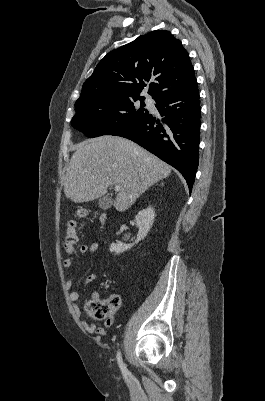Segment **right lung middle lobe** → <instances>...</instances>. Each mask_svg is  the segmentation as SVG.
<instances>
[{
  "instance_id": "1",
  "label": "right lung middle lobe",
  "mask_w": 265,
  "mask_h": 401,
  "mask_svg": "<svg viewBox=\"0 0 265 401\" xmlns=\"http://www.w3.org/2000/svg\"><path fill=\"white\" fill-rule=\"evenodd\" d=\"M144 99L106 96L91 100L75 106L71 125L89 138L112 135L149 114ZM136 100L141 101L140 108L133 104Z\"/></svg>"
}]
</instances>
